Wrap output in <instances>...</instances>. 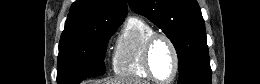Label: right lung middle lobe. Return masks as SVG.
Returning a JSON list of instances; mask_svg holds the SVG:
<instances>
[{
    "label": "right lung middle lobe",
    "mask_w": 260,
    "mask_h": 84,
    "mask_svg": "<svg viewBox=\"0 0 260 84\" xmlns=\"http://www.w3.org/2000/svg\"><path fill=\"white\" fill-rule=\"evenodd\" d=\"M121 23H100L85 38L60 41L58 84H78L88 77L104 74L107 43Z\"/></svg>",
    "instance_id": "1"
}]
</instances>
